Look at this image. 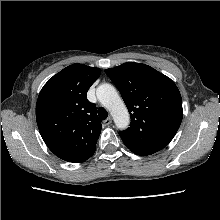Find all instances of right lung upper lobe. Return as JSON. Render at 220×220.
I'll use <instances>...</instances> for the list:
<instances>
[{
	"label": "right lung upper lobe",
	"instance_id": "obj_1",
	"mask_svg": "<svg viewBox=\"0 0 220 220\" xmlns=\"http://www.w3.org/2000/svg\"><path fill=\"white\" fill-rule=\"evenodd\" d=\"M100 69L73 64L50 78L36 104V120L48 148L68 162H83L93 155L101 131L96 106L87 91Z\"/></svg>",
	"mask_w": 220,
	"mask_h": 220
}]
</instances>
